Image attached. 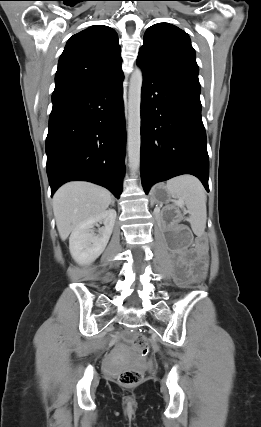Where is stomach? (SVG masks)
Instances as JSON below:
<instances>
[{
  "mask_svg": "<svg viewBox=\"0 0 261 427\" xmlns=\"http://www.w3.org/2000/svg\"><path fill=\"white\" fill-rule=\"evenodd\" d=\"M170 198L171 194L164 185H157L153 188L151 193L152 202L159 204L168 203Z\"/></svg>",
  "mask_w": 261,
  "mask_h": 427,
  "instance_id": "0dacf381",
  "label": "stomach"
}]
</instances>
